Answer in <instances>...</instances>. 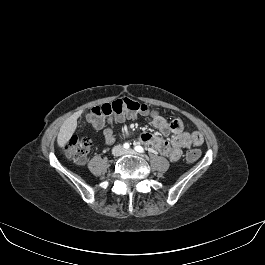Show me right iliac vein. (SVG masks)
Wrapping results in <instances>:
<instances>
[{
    "label": "right iliac vein",
    "instance_id": "63e3f726",
    "mask_svg": "<svg viewBox=\"0 0 265 265\" xmlns=\"http://www.w3.org/2000/svg\"><path fill=\"white\" fill-rule=\"evenodd\" d=\"M116 155H120L122 153V148L118 147L115 151Z\"/></svg>",
    "mask_w": 265,
    "mask_h": 265
}]
</instances>
